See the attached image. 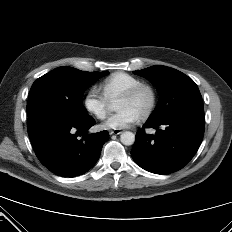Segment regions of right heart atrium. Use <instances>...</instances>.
<instances>
[{"label": "right heart atrium", "mask_w": 232, "mask_h": 232, "mask_svg": "<svg viewBox=\"0 0 232 232\" xmlns=\"http://www.w3.org/2000/svg\"><path fill=\"white\" fill-rule=\"evenodd\" d=\"M85 110L96 119H104L109 111V101L97 89L90 88L83 97Z\"/></svg>", "instance_id": "right-heart-atrium-1"}]
</instances>
